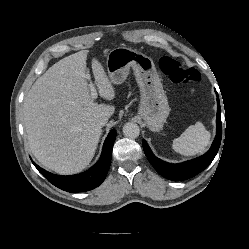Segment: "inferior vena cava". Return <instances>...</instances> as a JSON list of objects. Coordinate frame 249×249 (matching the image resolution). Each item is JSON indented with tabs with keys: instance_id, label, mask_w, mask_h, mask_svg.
Returning a JSON list of instances; mask_svg holds the SVG:
<instances>
[{
	"instance_id": "inferior-vena-cava-1",
	"label": "inferior vena cava",
	"mask_w": 249,
	"mask_h": 249,
	"mask_svg": "<svg viewBox=\"0 0 249 249\" xmlns=\"http://www.w3.org/2000/svg\"><path fill=\"white\" fill-rule=\"evenodd\" d=\"M108 121V118L103 116V117H100L99 119H97V125H99L100 127H103Z\"/></svg>"
}]
</instances>
